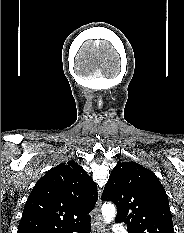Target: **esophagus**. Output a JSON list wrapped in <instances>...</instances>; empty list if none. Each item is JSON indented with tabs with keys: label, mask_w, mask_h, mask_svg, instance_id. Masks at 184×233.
<instances>
[{
	"label": "esophagus",
	"mask_w": 184,
	"mask_h": 233,
	"mask_svg": "<svg viewBox=\"0 0 184 233\" xmlns=\"http://www.w3.org/2000/svg\"><path fill=\"white\" fill-rule=\"evenodd\" d=\"M100 203H101V200H99V202L97 203L96 215H95L94 220L92 222L93 233H102V230H103L102 218H101V214L99 212Z\"/></svg>",
	"instance_id": "34e87169"
}]
</instances>
